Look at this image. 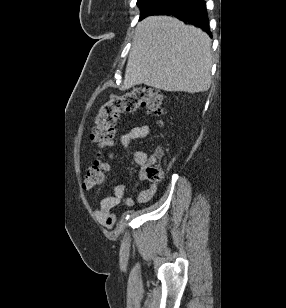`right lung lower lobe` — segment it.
Returning a JSON list of instances; mask_svg holds the SVG:
<instances>
[{
    "mask_svg": "<svg viewBox=\"0 0 286 308\" xmlns=\"http://www.w3.org/2000/svg\"><path fill=\"white\" fill-rule=\"evenodd\" d=\"M154 14L173 15L184 22L204 29L211 36L206 3L203 0H171L147 16Z\"/></svg>",
    "mask_w": 286,
    "mask_h": 308,
    "instance_id": "right-lung-lower-lobe-1",
    "label": "right lung lower lobe"
}]
</instances>
